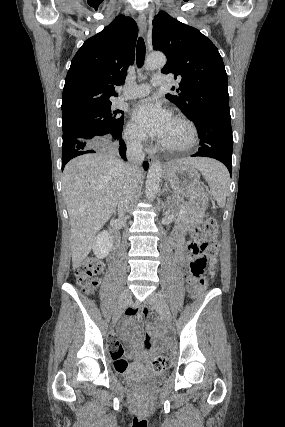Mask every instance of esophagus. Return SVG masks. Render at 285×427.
<instances>
[{"mask_svg":"<svg viewBox=\"0 0 285 427\" xmlns=\"http://www.w3.org/2000/svg\"><path fill=\"white\" fill-rule=\"evenodd\" d=\"M138 25H139V28H140V31H141L142 35L145 37L146 36V31H147V20H146L145 14L142 13V12L138 16ZM147 159H148V162L150 164H152V163H154L157 160V157L154 156V155H149L147 157Z\"/></svg>","mask_w":285,"mask_h":427,"instance_id":"1","label":"esophagus"}]
</instances>
